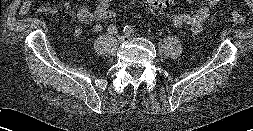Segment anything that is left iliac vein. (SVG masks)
<instances>
[{
    "instance_id": "left-iliac-vein-1",
    "label": "left iliac vein",
    "mask_w": 253,
    "mask_h": 131,
    "mask_svg": "<svg viewBox=\"0 0 253 131\" xmlns=\"http://www.w3.org/2000/svg\"><path fill=\"white\" fill-rule=\"evenodd\" d=\"M126 37L130 38L132 37V34H126Z\"/></svg>"
}]
</instances>
